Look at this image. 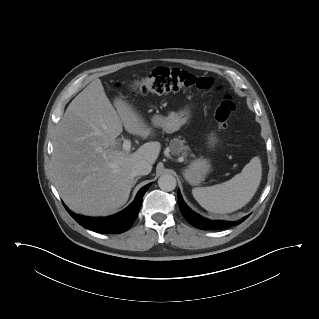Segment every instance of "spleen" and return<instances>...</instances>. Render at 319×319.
<instances>
[{"label": "spleen", "instance_id": "obj_1", "mask_svg": "<svg viewBox=\"0 0 319 319\" xmlns=\"http://www.w3.org/2000/svg\"><path fill=\"white\" fill-rule=\"evenodd\" d=\"M261 176V161L256 156L232 179L210 187L193 188L192 194L207 211L231 213L250 202L259 187Z\"/></svg>", "mask_w": 319, "mask_h": 319}]
</instances>
